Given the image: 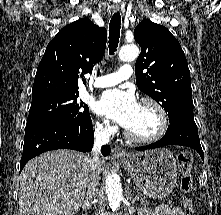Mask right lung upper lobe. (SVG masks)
<instances>
[{
  "label": "right lung upper lobe",
  "mask_w": 221,
  "mask_h": 215,
  "mask_svg": "<svg viewBox=\"0 0 221 215\" xmlns=\"http://www.w3.org/2000/svg\"><path fill=\"white\" fill-rule=\"evenodd\" d=\"M106 41V29L88 18L63 27L49 42L39 63L32 101L55 94L78 92V78L91 71L93 64L101 59Z\"/></svg>",
  "instance_id": "cb5924a9"
}]
</instances>
